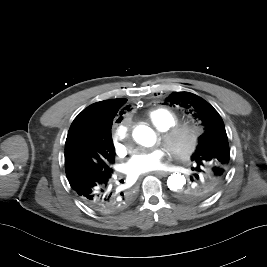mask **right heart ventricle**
<instances>
[{"mask_svg":"<svg viewBox=\"0 0 267 267\" xmlns=\"http://www.w3.org/2000/svg\"><path fill=\"white\" fill-rule=\"evenodd\" d=\"M148 121L160 131H165L179 121L178 115L165 107L155 108L147 113Z\"/></svg>","mask_w":267,"mask_h":267,"instance_id":"e07e8e85","label":"right heart ventricle"}]
</instances>
